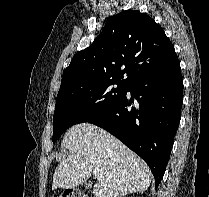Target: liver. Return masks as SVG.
Segmentation results:
<instances>
[{"label":"liver","mask_w":209,"mask_h":197,"mask_svg":"<svg viewBox=\"0 0 209 197\" xmlns=\"http://www.w3.org/2000/svg\"><path fill=\"white\" fill-rule=\"evenodd\" d=\"M62 146L69 150V155L55 169L52 190L83 184L95 168L102 175L93 189L96 197H122L143 192L150 185L152 174L147 164L119 139L96 125L72 126Z\"/></svg>","instance_id":"6515ba94"}]
</instances>
